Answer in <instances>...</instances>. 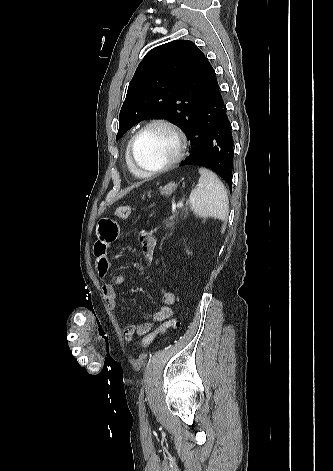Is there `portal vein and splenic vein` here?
Masks as SVG:
<instances>
[{"label": "portal vein and splenic vein", "instance_id": "1", "mask_svg": "<svg viewBox=\"0 0 333 471\" xmlns=\"http://www.w3.org/2000/svg\"><path fill=\"white\" fill-rule=\"evenodd\" d=\"M184 206V201L183 200H180L177 205H176V208H182Z\"/></svg>", "mask_w": 333, "mask_h": 471}]
</instances>
